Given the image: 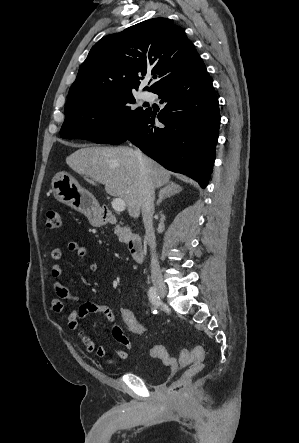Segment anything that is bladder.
I'll use <instances>...</instances> for the list:
<instances>
[{"label": "bladder", "instance_id": "obj_1", "mask_svg": "<svg viewBox=\"0 0 299 443\" xmlns=\"http://www.w3.org/2000/svg\"><path fill=\"white\" fill-rule=\"evenodd\" d=\"M133 372L149 383L157 382L164 378V374H156L153 371L139 369L137 365L133 367Z\"/></svg>", "mask_w": 299, "mask_h": 443}]
</instances>
